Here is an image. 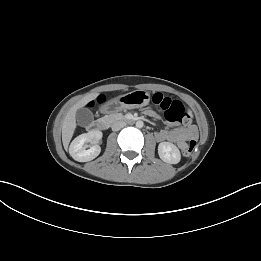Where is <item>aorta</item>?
Masks as SVG:
<instances>
[{
	"label": "aorta",
	"instance_id": "obj_1",
	"mask_svg": "<svg viewBox=\"0 0 261 261\" xmlns=\"http://www.w3.org/2000/svg\"><path fill=\"white\" fill-rule=\"evenodd\" d=\"M143 125H144L143 121H140V120H139V121L136 122V127H137V128H142Z\"/></svg>",
	"mask_w": 261,
	"mask_h": 261
}]
</instances>
